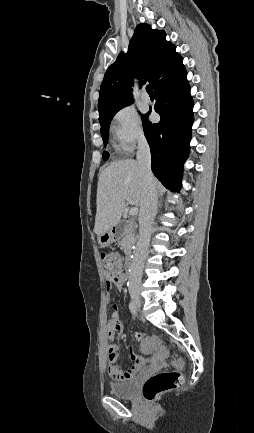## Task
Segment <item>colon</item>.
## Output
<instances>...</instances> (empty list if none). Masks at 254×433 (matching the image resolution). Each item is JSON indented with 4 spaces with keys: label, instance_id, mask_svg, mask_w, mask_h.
Returning <instances> with one entry per match:
<instances>
[{
    "label": "colon",
    "instance_id": "1",
    "mask_svg": "<svg viewBox=\"0 0 254 433\" xmlns=\"http://www.w3.org/2000/svg\"><path fill=\"white\" fill-rule=\"evenodd\" d=\"M101 259L109 280L120 281L126 279L125 262L117 252L109 251L101 254ZM155 338H149L146 344H155ZM180 362H176V369L159 372L151 376L143 386V397L147 401H153L163 393L179 387L182 383V375L177 368Z\"/></svg>",
    "mask_w": 254,
    "mask_h": 433
}]
</instances>
